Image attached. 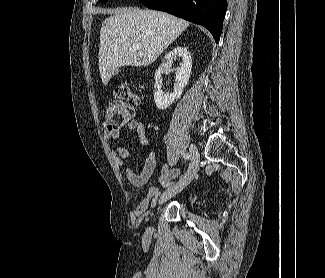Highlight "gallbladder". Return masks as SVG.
<instances>
[{"instance_id": "gallbladder-1", "label": "gallbladder", "mask_w": 325, "mask_h": 278, "mask_svg": "<svg viewBox=\"0 0 325 278\" xmlns=\"http://www.w3.org/2000/svg\"><path fill=\"white\" fill-rule=\"evenodd\" d=\"M118 73H119V70H118V69H116V71H115V73H114V74L116 75V74H118Z\"/></svg>"}]
</instances>
